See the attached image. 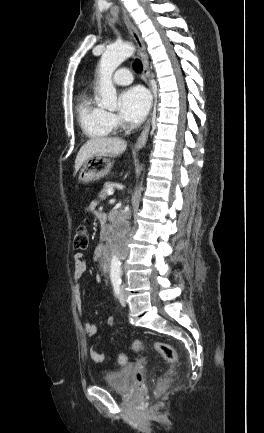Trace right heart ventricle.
I'll list each match as a JSON object with an SVG mask.
<instances>
[{"label": "right heart ventricle", "instance_id": "obj_1", "mask_svg": "<svg viewBox=\"0 0 264 433\" xmlns=\"http://www.w3.org/2000/svg\"><path fill=\"white\" fill-rule=\"evenodd\" d=\"M77 118L82 131L90 138L107 137L113 132L108 112L88 92L78 98Z\"/></svg>", "mask_w": 264, "mask_h": 433}]
</instances>
